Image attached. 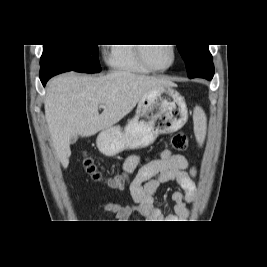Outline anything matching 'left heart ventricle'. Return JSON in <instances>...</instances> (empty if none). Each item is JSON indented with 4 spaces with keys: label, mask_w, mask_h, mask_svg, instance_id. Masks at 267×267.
Returning <instances> with one entry per match:
<instances>
[{
    "label": "left heart ventricle",
    "mask_w": 267,
    "mask_h": 267,
    "mask_svg": "<svg viewBox=\"0 0 267 267\" xmlns=\"http://www.w3.org/2000/svg\"><path fill=\"white\" fill-rule=\"evenodd\" d=\"M149 61L159 68L168 66L172 60V51L168 44L153 45L147 48Z\"/></svg>",
    "instance_id": "left-heart-ventricle-1"
}]
</instances>
